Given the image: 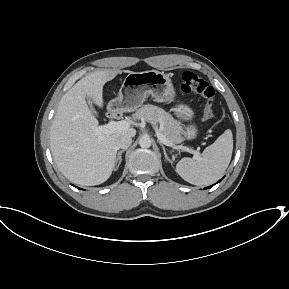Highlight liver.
<instances>
[{"mask_svg": "<svg viewBox=\"0 0 289 289\" xmlns=\"http://www.w3.org/2000/svg\"><path fill=\"white\" fill-rule=\"evenodd\" d=\"M132 73L131 71H124ZM120 73L101 70L80 79L61 98L50 130V148L60 172L71 182L93 186L105 182L116 163L117 139L134 137L136 130L98 135V121L91 113L86 98L103 107V86Z\"/></svg>", "mask_w": 289, "mask_h": 289, "instance_id": "6515ba94", "label": "liver"}]
</instances>
